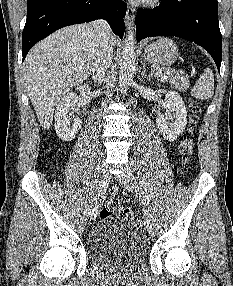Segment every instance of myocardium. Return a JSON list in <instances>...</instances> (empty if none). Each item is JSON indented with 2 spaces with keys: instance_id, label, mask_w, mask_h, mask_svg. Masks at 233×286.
<instances>
[{
  "instance_id": "1",
  "label": "myocardium",
  "mask_w": 233,
  "mask_h": 286,
  "mask_svg": "<svg viewBox=\"0 0 233 286\" xmlns=\"http://www.w3.org/2000/svg\"><path fill=\"white\" fill-rule=\"evenodd\" d=\"M140 4L147 6H155L159 4L162 0H138Z\"/></svg>"
}]
</instances>
